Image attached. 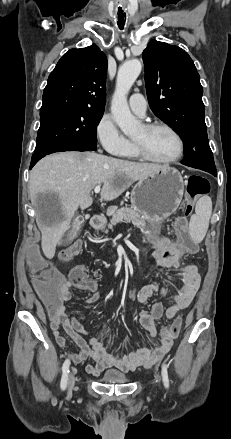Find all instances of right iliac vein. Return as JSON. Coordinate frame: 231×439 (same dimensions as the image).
Segmentation results:
<instances>
[{"mask_svg":"<svg viewBox=\"0 0 231 439\" xmlns=\"http://www.w3.org/2000/svg\"><path fill=\"white\" fill-rule=\"evenodd\" d=\"M75 373H76L75 369L72 368L70 370L69 378H68V389H69V391H71L73 389V387H74V384H75Z\"/></svg>","mask_w":231,"mask_h":439,"instance_id":"right-iliac-vein-1","label":"right iliac vein"}]
</instances>
